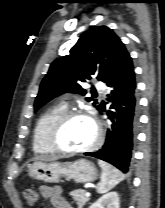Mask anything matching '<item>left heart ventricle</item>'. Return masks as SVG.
Returning <instances> with one entry per match:
<instances>
[{
    "instance_id": "left-heart-ventricle-1",
    "label": "left heart ventricle",
    "mask_w": 165,
    "mask_h": 208,
    "mask_svg": "<svg viewBox=\"0 0 165 208\" xmlns=\"http://www.w3.org/2000/svg\"><path fill=\"white\" fill-rule=\"evenodd\" d=\"M95 138V127L86 117H75L63 128L59 143L67 149H81L89 146Z\"/></svg>"
}]
</instances>
